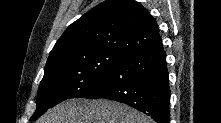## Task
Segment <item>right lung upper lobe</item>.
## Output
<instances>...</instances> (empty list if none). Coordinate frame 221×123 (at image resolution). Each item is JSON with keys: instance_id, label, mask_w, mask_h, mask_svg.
<instances>
[{"instance_id": "cb5924a9", "label": "right lung upper lobe", "mask_w": 221, "mask_h": 123, "mask_svg": "<svg viewBox=\"0 0 221 123\" xmlns=\"http://www.w3.org/2000/svg\"><path fill=\"white\" fill-rule=\"evenodd\" d=\"M162 45L157 22L134 0H106L72 23L47 60L83 50L107 48L119 53Z\"/></svg>"}]
</instances>
